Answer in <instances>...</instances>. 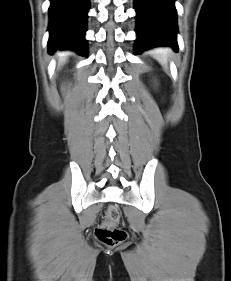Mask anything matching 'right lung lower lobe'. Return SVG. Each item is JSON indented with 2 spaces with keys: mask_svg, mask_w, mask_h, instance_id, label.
<instances>
[{
  "mask_svg": "<svg viewBox=\"0 0 231 281\" xmlns=\"http://www.w3.org/2000/svg\"><path fill=\"white\" fill-rule=\"evenodd\" d=\"M49 52L75 50L87 55L85 40L89 0H50Z\"/></svg>",
  "mask_w": 231,
  "mask_h": 281,
  "instance_id": "right-lung-lower-lobe-1",
  "label": "right lung lower lobe"
}]
</instances>
